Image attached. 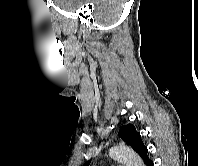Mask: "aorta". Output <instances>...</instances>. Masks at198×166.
Segmentation results:
<instances>
[{"mask_svg":"<svg viewBox=\"0 0 198 166\" xmlns=\"http://www.w3.org/2000/svg\"><path fill=\"white\" fill-rule=\"evenodd\" d=\"M109 155L114 160L124 162L126 166H145L140 156L127 146H114L109 150Z\"/></svg>","mask_w":198,"mask_h":166,"instance_id":"obj_1","label":"aorta"}]
</instances>
